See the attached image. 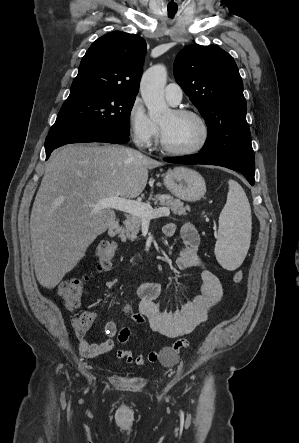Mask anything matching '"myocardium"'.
I'll list each match as a JSON object with an SVG mask.
<instances>
[{
    "label": "myocardium",
    "instance_id": "1",
    "mask_svg": "<svg viewBox=\"0 0 299 443\" xmlns=\"http://www.w3.org/2000/svg\"><path fill=\"white\" fill-rule=\"evenodd\" d=\"M172 112L176 116L192 117V118L196 119L201 127V131H202L201 138H200L199 142L191 148L174 149V148L168 147L164 143L163 136H162V130L160 128L158 141H157L158 149L167 155L180 156V157L194 155V154H197L200 151H202L205 148V146L207 145L209 137H210L209 126H208V123L205 120V118L197 111L190 110V109H176V110H173Z\"/></svg>",
    "mask_w": 299,
    "mask_h": 443
}]
</instances>
